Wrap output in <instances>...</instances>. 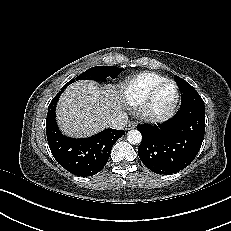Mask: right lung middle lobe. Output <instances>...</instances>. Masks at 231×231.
Instances as JSON below:
<instances>
[{
    "mask_svg": "<svg viewBox=\"0 0 231 231\" xmlns=\"http://www.w3.org/2000/svg\"><path fill=\"white\" fill-rule=\"evenodd\" d=\"M124 69L116 66H96L86 70L84 73L76 77V80H95L106 82L107 77L116 78ZM75 79L68 83H73Z\"/></svg>",
    "mask_w": 231,
    "mask_h": 231,
    "instance_id": "1",
    "label": "right lung middle lobe"
}]
</instances>
